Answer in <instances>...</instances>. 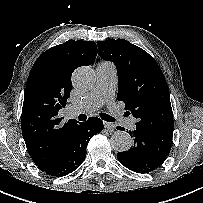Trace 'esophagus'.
I'll list each match as a JSON object with an SVG mask.
<instances>
[{
	"instance_id": "34e87169",
	"label": "esophagus",
	"mask_w": 203,
	"mask_h": 203,
	"mask_svg": "<svg viewBox=\"0 0 203 203\" xmlns=\"http://www.w3.org/2000/svg\"><path fill=\"white\" fill-rule=\"evenodd\" d=\"M104 127L108 129L110 132L115 130V124L104 121Z\"/></svg>"
}]
</instances>
